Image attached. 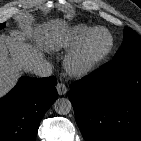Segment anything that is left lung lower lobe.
Returning <instances> with one entry per match:
<instances>
[{
    "mask_svg": "<svg viewBox=\"0 0 141 141\" xmlns=\"http://www.w3.org/2000/svg\"><path fill=\"white\" fill-rule=\"evenodd\" d=\"M86 141H141V55L113 60L71 85Z\"/></svg>",
    "mask_w": 141,
    "mask_h": 141,
    "instance_id": "0a47b994",
    "label": "left lung lower lobe"
}]
</instances>
